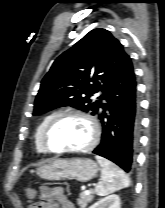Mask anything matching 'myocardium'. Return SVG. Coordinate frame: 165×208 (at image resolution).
I'll list each match as a JSON object with an SVG mask.
<instances>
[{
    "instance_id": "myocardium-1",
    "label": "myocardium",
    "mask_w": 165,
    "mask_h": 208,
    "mask_svg": "<svg viewBox=\"0 0 165 208\" xmlns=\"http://www.w3.org/2000/svg\"><path fill=\"white\" fill-rule=\"evenodd\" d=\"M69 117H75V118H81L88 122L90 128H91V138L89 142L80 148L75 149H55L50 146L48 142V136L50 131L53 129V127L60 122L61 120ZM100 138V127L96 120V118L86 112L82 111H63L57 114L55 117H53L49 123L46 125L45 129L42 133V143L44 148L47 150V152L50 153H56V154H77V153H85L87 151H90L93 149Z\"/></svg>"
}]
</instances>
